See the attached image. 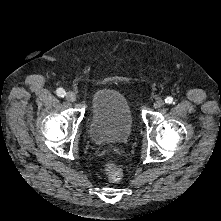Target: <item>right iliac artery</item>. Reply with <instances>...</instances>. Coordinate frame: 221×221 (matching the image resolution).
Here are the masks:
<instances>
[{
    "label": "right iliac artery",
    "instance_id": "obj_1",
    "mask_svg": "<svg viewBox=\"0 0 221 221\" xmlns=\"http://www.w3.org/2000/svg\"><path fill=\"white\" fill-rule=\"evenodd\" d=\"M56 93H57V95H58L59 97H64L65 94H66L63 88H58V89L56 90Z\"/></svg>",
    "mask_w": 221,
    "mask_h": 221
}]
</instances>
